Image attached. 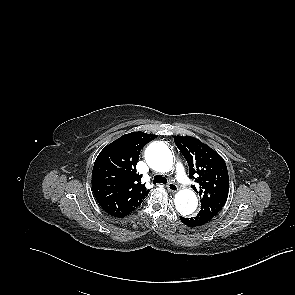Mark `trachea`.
<instances>
[{"instance_id": "obj_1", "label": "trachea", "mask_w": 295, "mask_h": 295, "mask_svg": "<svg viewBox=\"0 0 295 295\" xmlns=\"http://www.w3.org/2000/svg\"><path fill=\"white\" fill-rule=\"evenodd\" d=\"M155 183L166 184L167 179L161 175H156V176H154V179H153V184H155Z\"/></svg>"}]
</instances>
